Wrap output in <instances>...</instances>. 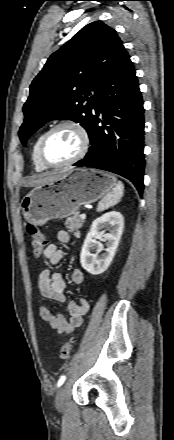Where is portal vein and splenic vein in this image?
I'll use <instances>...</instances> for the list:
<instances>
[{
  "label": "portal vein and splenic vein",
  "instance_id": "obj_1",
  "mask_svg": "<svg viewBox=\"0 0 174 440\" xmlns=\"http://www.w3.org/2000/svg\"><path fill=\"white\" fill-rule=\"evenodd\" d=\"M80 219H81V220H85V219H86V214L82 213V214L80 215Z\"/></svg>",
  "mask_w": 174,
  "mask_h": 440
}]
</instances>
